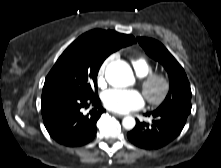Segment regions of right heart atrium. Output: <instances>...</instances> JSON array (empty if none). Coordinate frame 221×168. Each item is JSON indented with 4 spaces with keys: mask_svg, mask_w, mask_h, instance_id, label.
Wrapping results in <instances>:
<instances>
[{
    "mask_svg": "<svg viewBox=\"0 0 221 168\" xmlns=\"http://www.w3.org/2000/svg\"><path fill=\"white\" fill-rule=\"evenodd\" d=\"M111 60V58L107 59L103 64L102 66L99 68V71H98V75H97V80H98V84L100 86H103L105 85V68L107 66V64L109 63V61Z\"/></svg>",
    "mask_w": 221,
    "mask_h": 168,
    "instance_id": "right-heart-atrium-1",
    "label": "right heart atrium"
}]
</instances>
